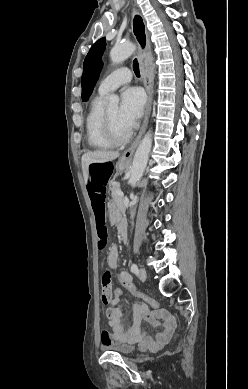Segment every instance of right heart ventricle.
<instances>
[{
    "label": "right heart ventricle",
    "mask_w": 248,
    "mask_h": 389,
    "mask_svg": "<svg viewBox=\"0 0 248 389\" xmlns=\"http://www.w3.org/2000/svg\"><path fill=\"white\" fill-rule=\"evenodd\" d=\"M104 98L105 95L100 93L93 98L85 119L87 142L97 149H109L114 146L104 133Z\"/></svg>",
    "instance_id": "obj_1"
}]
</instances>
